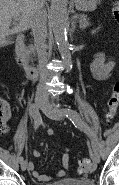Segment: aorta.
Instances as JSON below:
<instances>
[{"label": "aorta", "mask_w": 119, "mask_h": 185, "mask_svg": "<svg viewBox=\"0 0 119 185\" xmlns=\"http://www.w3.org/2000/svg\"><path fill=\"white\" fill-rule=\"evenodd\" d=\"M50 19L64 67L70 70L72 67V58L67 40V0H51Z\"/></svg>", "instance_id": "aorta-1"}]
</instances>
